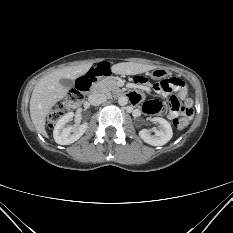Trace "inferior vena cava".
<instances>
[{"label": "inferior vena cava", "instance_id": "1", "mask_svg": "<svg viewBox=\"0 0 233 233\" xmlns=\"http://www.w3.org/2000/svg\"><path fill=\"white\" fill-rule=\"evenodd\" d=\"M107 100V96L103 93L100 94H91L88 97V101L93 106H98L102 103H104Z\"/></svg>", "mask_w": 233, "mask_h": 233}]
</instances>
